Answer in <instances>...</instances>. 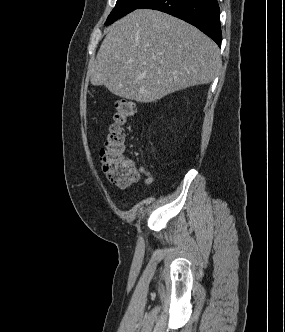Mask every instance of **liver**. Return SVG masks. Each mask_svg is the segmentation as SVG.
<instances>
[{
    "label": "liver",
    "instance_id": "liver-1",
    "mask_svg": "<svg viewBox=\"0 0 285 332\" xmlns=\"http://www.w3.org/2000/svg\"><path fill=\"white\" fill-rule=\"evenodd\" d=\"M220 66L218 46L199 29L160 11L137 9L108 28L89 73L92 85L149 103L210 83Z\"/></svg>",
    "mask_w": 285,
    "mask_h": 332
}]
</instances>
